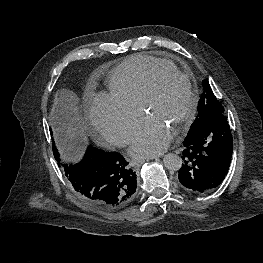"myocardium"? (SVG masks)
<instances>
[{
	"mask_svg": "<svg viewBox=\"0 0 263 263\" xmlns=\"http://www.w3.org/2000/svg\"><path fill=\"white\" fill-rule=\"evenodd\" d=\"M165 76H172V77L182 79L186 83V86L188 89V94H189L188 106L186 108L185 113L178 120L176 129L174 131L176 134H178L193 119V117L196 113L198 101H199L197 90L194 87V85H193V83H192V81L188 75L180 72L178 69H169V68H164V67L156 68L153 71V73H152V75H151V77H150V79H149V81L145 87V90H144V93H143V96H142V99L140 102V109L143 111V113L146 114L148 105L155 95L157 84H158L159 80Z\"/></svg>",
	"mask_w": 263,
	"mask_h": 263,
	"instance_id": "f54148a6",
	"label": "myocardium"
}]
</instances>
